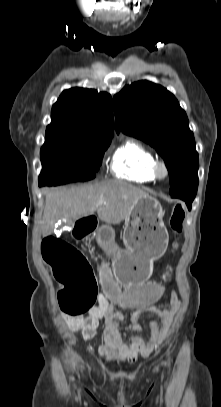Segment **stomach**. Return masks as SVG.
<instances>
[{
	"label": "stomach",
	"mask_w": 221,
	"mask_h": 407,
	"mask_svg": "<svg viewBox=\"0 0 221 407\" xmlns=\"http://www.w3.org/2000/svg\"><path fill=\"white\" fill-rule=\"evenodd\" d=\"M164 214L160 202L149 195L134 203L125 219V248L111 249L113 274L120 284L129 286L149 279L153 262L163 256L168 246Z\"/></svg>",
	"instance_id": "obj_1"
}]
</instances>
